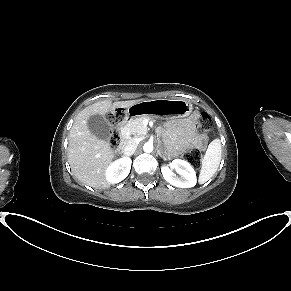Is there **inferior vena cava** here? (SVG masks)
<instances>
[{
    "label": "inferior vena cava",
    "instance_id": "inferior-vena-cava-1",
    "mask_svg": "<svg viewBox=\"0 0 291 291\" xmlns=\"http://www.w3.org/2000/svg\"><path fill=\"white\" fill-rule=\"evenodd\" d=\"M138 143L136 140L131 139L126 143V146L123 149V153L125 156H131L136 151Z\"/></svg>",
    "mask_w": 291,
    "mask_h": 291
}]
</instances>
